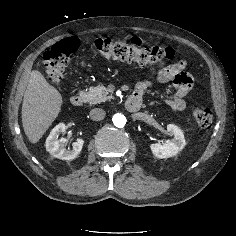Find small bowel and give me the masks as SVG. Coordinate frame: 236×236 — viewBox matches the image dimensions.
Wrapping results in <instances>:
<instances>
[{
	"label": "small bowel",
	"instance_id": "small-bowel-1",
	"mask_svg": "<svg viewBox=\"0 0 236 236\" xmlns=\"http://www.w3.org/2000/svg\"><path fill=\"white\" fill-rule=\"evenodd\" d=\"M133 41H138L133 39ZM185 62L179 61L175 64L156 70L154 67L150 69L153 77L159 82H172L176 88V95L172 99H167L166 103L177 112H181L186 108L185 97L192 88L193 79L189 73L185 71ZM151 87L150 81H143L136 85L135 94L142 96V94Z\"/></svg>",
	"mask_w": 236,
	"mask_h": 236
}]
</instances>
